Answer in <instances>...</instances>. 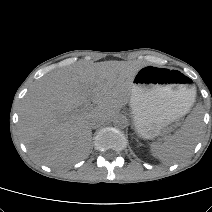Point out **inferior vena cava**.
<instances>
[{
  "mask_svg": "<svg viewBox=\"0 0 212 212\" xmlns=\"http://www.w3.org/2000/svg\"><path fill=\"white\" fill-rule=\"evenodd\" d=\"M99 122H100V120L95 119V120L92 122V126L96 125V124L99 123Z\"/></svg>",
  "mask_w": 212,
  "mask_h": 212,
  "instance_id": "1",
  "label": "inferior vena cava"
}]
</instances>
